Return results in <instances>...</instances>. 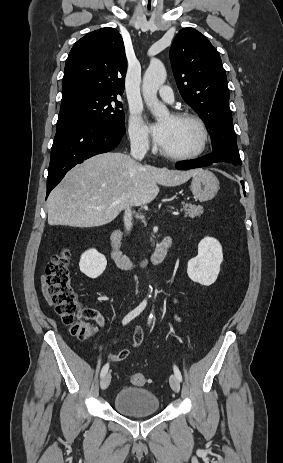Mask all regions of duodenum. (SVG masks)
Wrapping results in <instances>:
<instances>
[{
	"label": "duodenum",
	"mask_w": 283,
	"mask_h": 463,
	"mask_svg": "<svg viewBox=\"0 0 283 463\" xmlns=\"http://www.w3.org/2000/svg\"><path fill=\"white\" fill-rule=\"evenodd\" d=\"M121 234L118 230H113L110 237L111 252L110 256L113 262L120 268H142L146 263L151 262L153 265L162 263L166 257L167 251L172 245L171 236H166L158 244L149 257L135 258L124 254L121 251Z\"/></svg>",
	"instance_id": "obj_1"
}]
</instances>
